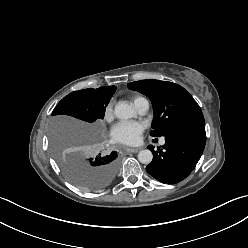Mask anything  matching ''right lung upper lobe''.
<instances>
[{"label":"right lung upper lobe","mask_w":248,"mask_h":248,"mask_svg":"<svg viewBox=\"0 0 248 248\" xmlns=\"http://www.w3.org/2000/svg\"><path fill=\"white\" fill-rule=\"evenodd\" d=\"M98 89L109 90V91L115 92L116 91V86H103V87H100Z\"/></svg>","instance_id":"right-lung-upper-lobe-1"}]
</instances>
